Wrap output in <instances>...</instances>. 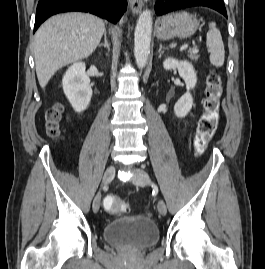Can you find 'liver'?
Returning a JSON list of instances; mask_svg holds the SVG:
<instances>
[{
    "instance_id": "6515ba94",
    "label": "liver",
    "mask_w": 265,
    "mask_h": 269,
    "mask_svg": "<svg viewBox=\"0 0 265 269\" xmlns=\"http://www.w3.org/2000/svg\"><path fill=\"white\" fill-rule=\"evenodd\" d=\"M102 19L87 13H66L45 21L34 36L39 84L44 88L60 68L90 56L102 38Z\"/></svg>"
}]
</instances>
